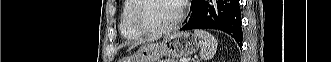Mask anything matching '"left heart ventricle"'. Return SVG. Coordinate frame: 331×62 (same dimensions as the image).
Wrapping results in <instances>:
<instances>
[{
	"label": "left heart ventricle",
	"mask_w": 331,
	"mask_h": 62,
	"mask_svg": "<svg viewBox=\"0 0 331 62\" xmlns=\"http://www.w3.org/2000/svg\"><path fill=\"white\" fill-rule=\"evenodd\" d=\"M179 4L176 0H147L139 12L142 23L150 28L171 24L178 16Z\"/></svg>",
	"instance_id": "left-heart-ventricle-1"
}]
</instances>
